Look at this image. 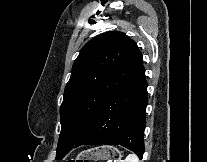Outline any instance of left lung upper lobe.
Masks as SVG:
<instances>
[{"mask_svg": "<svg viewBox=\"0 0 207 162\" xmlns=\"http://www.w3.org/2000/svg\"><path fill=\"white\" fill-rule=\"evenodd\" d=\"M142 61L136 43L119 31L100 34L84 45L73 64L60 107L56 160L73 147L98 108Z\"/></svg>", "mask_w": 207, "mask_h": 162, "instance_id": "1", "label": "left lung upper lobe"}]
</instances>
